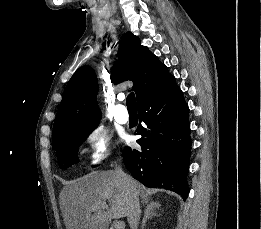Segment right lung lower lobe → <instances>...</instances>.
<instances>
[{
    "mask_svg": "<svg viewBox=\"0 0 261 229\" xmlns=\"http://www.w3.org/2000/svg\"><path fill=\"white\" fill-rule=\"evenodd\" d=\"M137 106L140 125L135 134L142 135L137 140L142 149L124 148L126 168L145 186L176 192L185 200L192 142L183 92L171 76Z\"/></svg>",
    "mask_w": 261,
    "mask_h": 229,
    "instance_id": "obj_1",
    "label": "right lung lower lobe"
}]
</instances>
